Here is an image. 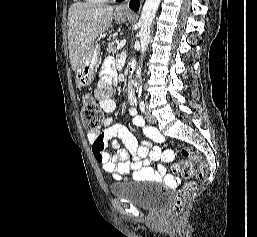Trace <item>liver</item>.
<instances>
[{"label":"liver","mask_w":257,"mask_h":237,"mask_svg":"<svg viewBox=\"0 0 257 237\" xmlns=\"http://www.w3.org/2000/svg\"><path fill=\"white\" fill-rule=\"evenodd\" d=\"M113 7L77 2L68 12V46L72 70H76L81 58L92 43L111 25Z\"/></svg>","instance_id":"6515ba94"}]
</instances>
